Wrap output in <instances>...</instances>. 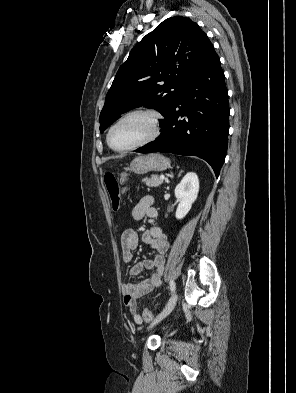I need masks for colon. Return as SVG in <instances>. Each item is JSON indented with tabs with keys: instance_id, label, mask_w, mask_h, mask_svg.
Masks as SVG:
<instances>
[{
	"instance_id": "5ec220e1",
	"label": "colon",
	"mask_w": 296,
	"mask_h": 393,
	"mask_svg": "<svg viewBox=\"0 0 296 393\" xmlns=\"http://www.w3.org/2000/svg\"><path fill=\"white\" fill-rule=\"evenodd\" d=\"M104 186L109 194L111 206L114 211H117L120 207V187L115 176L111 173H107L103 177ZM126 191V188L123 189ZM144 321L150 323L153 321L154 316L148 308H144L142 312Z\"/></svg>"
}]
</instances>
